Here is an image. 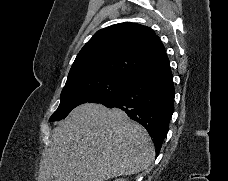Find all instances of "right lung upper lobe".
<instances>
[{
    "mask_svg": "<svg viewBox=\"0 0 228 181\" xmlns=\"http://www.w3.org/2000/svg\"><path fill=\"white\" fill-rule=\"evenodd\" d=\"M168 59L159 37L149 27L120 23L97 31L78 53L67 82L109 74L132 78Z\"/></svg>",
    "mask_w": 228,
    "mask_h": 181,
    "instance_id": "1",
    "label": "right lung upper lobe"
}]
</instances>
